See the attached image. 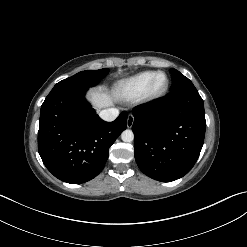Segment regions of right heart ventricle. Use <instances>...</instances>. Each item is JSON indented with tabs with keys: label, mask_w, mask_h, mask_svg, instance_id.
Instances as JSON below:
<instances>
[{
	"label": "right heart ventricle",
	"mask_w": 247,
	"mask_h": 247,
	"mask_svg": "<svg viewBox=\"0 0 247 247\" xmlns=\"http://www.w3.org/2000/svg\"><path fill=\"white\" fill-rule=\"evenodd\" d=\"M156 73V71H144L135 74L119 81L115 86V90L121 98L127 100L144 96Z\"/></svg>",
	"instance_id": "1"
}]
</instances>
